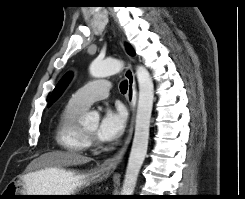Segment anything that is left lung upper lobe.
I'll list each match as a JSON object with an SVG mask.
<instances>
[{
    "instance_id": "left-lung-upper-lobe-1",
    "label": "left lung upper lobe",
    "mask_w": 245,
    "mask_h": 199,
    "mask_svg": "<svg viewBox=\"0 0 245 199\" xmlns=\"http://www.w3.org/2000/svg\"><path fill=\"white\" fill-rule=\"evenodd\" d=\"M127 50L129 52V54L133 55V50L131 49L130 46L127 45ZM72 75L66 74L57 84V86L55 87V89L53 90L50 99H49V103H48V107H50L52 105V103L54 101H56L58 99V97L62 94V92L64 91V89L66 88L67 84L69 83V81L71 80Z\"/></svg>"
}]
</instances>
